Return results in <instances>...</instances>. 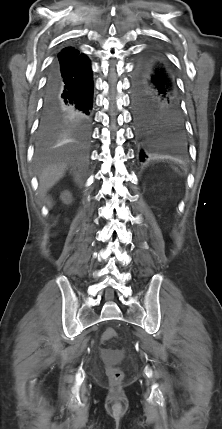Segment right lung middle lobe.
<instances>
[{
	"instance_id": "dd1d6c3e",
	"label": "right lung middle lobe",
	"mask_w": 222,
	"mask_h": 429,
	"mask_svg": "<svg viewBox=\"0 0 222 429\" xmlns=\"http://www.w3.org/2000/svg\"><path fill=\"white\" fill-rule=\"evenodd\" d=\"M61 135L59 129L46 128L40 126L38 131V145L39 147H45L53 143Z\"/></svg>"
}]
</instances>
